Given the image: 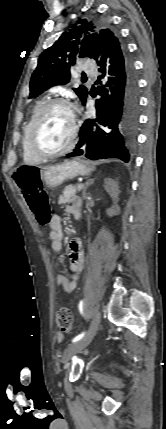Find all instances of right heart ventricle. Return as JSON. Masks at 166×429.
Here are the masks:
<instances>
[{
	"instance_id": "1",
	"label": "right heart ventricle",
	"mask_w": 166,
	"mask_h": 429,
	"mask_svg": "<svg viewBox=\"0 0 166 429\" xmlns=\"http://www.w3.org/2000/svg\"><path fill=\"white\" fill-rule=\"evenodd\" d=\"M44 104L43 100H39L35 103L31 114L23 128V137H22V154H23V160L24 162L28 163V164H37L42 162V159L36 157L35 155H33L30 150L28 149L27 146V136H28V132H29V128L30 125L35 117V115L37 114V112L39 111V109L41 108V106Z\"/></svg>"
}]
</instances>
